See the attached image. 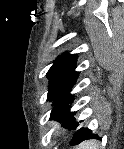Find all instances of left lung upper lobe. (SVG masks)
Returning <instances> with one entry per match:
<instances>
[{"label":"left lung upper lobe","instance_id":"obj_1","mask_svg":"<svg viewBox=\"0 0 124 149\" xmlns=\"http://www.w3.org/2000/svg\"><path fill=\"white\" fill-rule=\"evenodd\" d=\"M76 54H62L59 56L47 73L49 78V92L47 100L55 101L51 111V118H59L67 112L74 101V95L70 94L72 87L77 81L79 72L75 71ZM57 101V102H56ZM76 112H73L75 114ZM70 121V130H76L79 123ZM68 125V124H67ZM66 125V126H67Z\"/></svg>","mask_w":124,"mask_h":149}]
</instances>
